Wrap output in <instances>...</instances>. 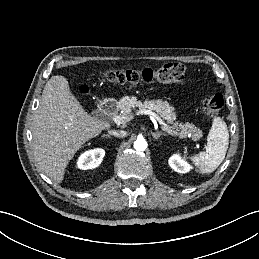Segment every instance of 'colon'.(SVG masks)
<instances>
[{"instance_id":"1","label":"colon","mask_w":259,"mask_h":259,"mask_svg":"<svg viewBox=\"0 0 259 259\" xmlns=\"http://www.w3.org/2000/svg\"><path fill=\"white\" fill-rule=\"evenodd\" d=\"M185 67L178 62L167 63L157 69L144 68L141 70L122 69L105 72V78L117 84H137L140 82H160L177 84L183 81ZM224 104L220 93L207 96L202 102L203 111L209 116L217 115Z\"/></svg>"}]
</instances>
